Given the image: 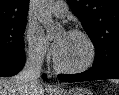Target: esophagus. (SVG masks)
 I'll return each mask as SVG.
<instances>
[{
    "label": "esophagus",
    "mask_w": 119,
    "mask_h": 95,
    "mask_svg": "<svg viewBox=\"0 0 119 95\" xmlns=\"http://www.w3.org/2000/svg\"><path fill=\"white\" fill-rule=\"evenodd\" d=\"M51 86H52L53 88H56V87H57V85H56V84H52Z\"/></svg>",
    "instance_id": "esophagus-1"
}]
</instances>
